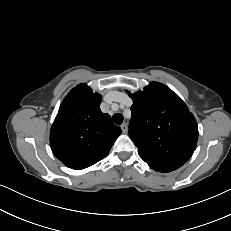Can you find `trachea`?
Listing matches in <instances>:
<instances>
[{
  "label": "trachea",
  "instance_id": "obj_1",
  "mask_svg": "<svg viewBox=\"0 0 231 231\" xmlns=\"http://www.w3.org/2000/svg\"><path fill=\"white\" fill-rule=\"evenodd\" d=\"M112 119H113V122H114L116 125H121L122 122H123V120H124L123 115L120 114V113L114 114L113 117H112Z\"/></svg>",
  "mask_w": 231,
  "mask_h": 231
}]
</instances>
